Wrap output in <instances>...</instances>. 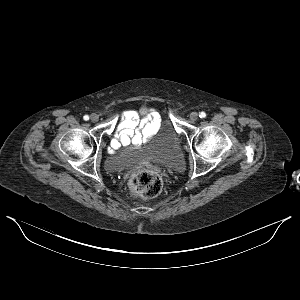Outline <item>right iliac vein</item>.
<instances>
[{
  "mask_svg": "<svg viewBox=\"0 0 300 300\" xmlns=\"http://www.w3.org/2000/svg\"><path fill=\"white\" fill-rule=\"evenodd\" d=\"M90 120L95 123L99 120V116L97 114L93 113L90 116Z\"/></svg>",
  "mask_w": 300,
  "mask_h": 300,
  "instance_id": "63e3f726",
  "label": "right iliac vein"
}]
</instances>
